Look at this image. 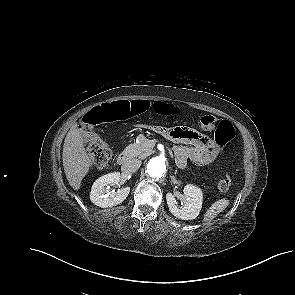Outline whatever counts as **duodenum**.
<instances>
[{"mask_svg": "<svg viewBox=\"0 0 295 295\" xmlns=\"http://www.w3.org/2000/svg\"><path fill=\"white\" fill-rule=\"evenodd\" d=\"M129 160H130V153L128 150L121 151L117 157V163L119 165H123V164L127 163Z\"/></svg>", "mask_w": 295, "mask_h": 295, "instance_id": "duodenum-1", "label": "duodenum"}]
</instances>
